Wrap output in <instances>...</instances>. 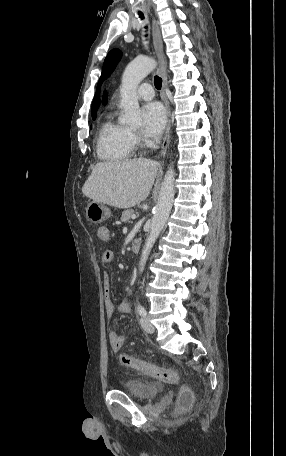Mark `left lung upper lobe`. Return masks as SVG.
I'll use <instances>...</instances> for the list:
<instances>
[{
	"label": "left lung upper lobe",
	"mask_w": 286,
	"mask_h": 456,
	"mask_svg": "<svg viewBox=\"0 0 286 456\" xmlns=\"http://www.w3.org/2000/svg\"><path fill=\"white\" fill-rule=\"evenodd\" d=\"M121 51L118 50V49H113L111 50L105 61H104V64H103V69H102V74H101V77L99 79V82H98V86H97V89H96V93H95V96H94V99H93V103H92V117L93 119H95V115H96V111L100 105V89H101V84L103 82V80L105 78H107L111 72L113 71V69L116 67L118 61L120 60L121 58Z\"/></svg>",
	"instance_id": "left-lung-upper-lobe-1"
}]
</instances>
